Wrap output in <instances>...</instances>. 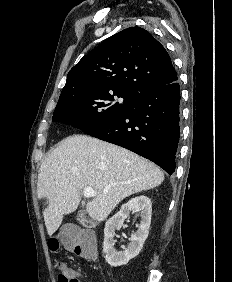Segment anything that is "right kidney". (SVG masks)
<instances>
[{"label": "right kidney", "mask_w": 232, "mask_h": 282, "mask_svg": "<svg viewBox=\"0 0 232 282\" xmlns=\"http://www.w3.org/2000/svg\"><path fill=\"white\" fill-rule=\"evenodd\" d=\"M131 211H139L141 215L140 226L136 233L131 235L130 243L123 251H117L115 245V231L120 229L124 220ZM152 203L146 196L132 198L123 204L120 210L107 220L104 229V247L105 259L113 267L126 265L129 260L136 257L148 237L151 224Z\"/></svg>", "instance_id": "ca27d5eb"}]
</instances>
